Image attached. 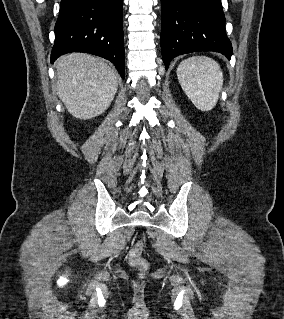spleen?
Here are the masks:
<instances>
[{"instance_id": "3e777b00", "label": "spleen", "mask_w": 284, "mask_h": 319, "mask_svg": "<svg viewBox=\"0 0 284 319\" xmlns=\"http://www.w3.org/2000/svg\"><path fill=\"white\" fill-rule=\"evenodd\" d=\"M177 77L199 110L209 111L216 105L223 85V73L216 61L205 56L185 59L177 67Z\"/></svg>"}]
</instances>
